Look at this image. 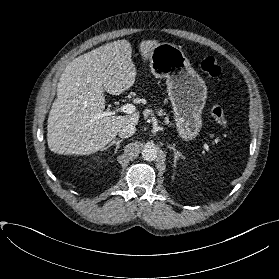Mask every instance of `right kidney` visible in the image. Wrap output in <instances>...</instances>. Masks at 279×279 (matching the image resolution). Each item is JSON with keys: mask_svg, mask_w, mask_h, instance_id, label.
<instances>
[{"mask_svg": "<svg viewBox=\"0 0 279 279\" xmlns=\"http://www.w3.org/2000/svg\"><path fill=\"white\" fill-rule=\"evenodd\" d=\"M97 161L99 160V158H95Z\"/></svg>", "mask_w": 279, "mask_h": 279, "instance_id": "obj_1", "label": "right kidney"}]
</instances>
